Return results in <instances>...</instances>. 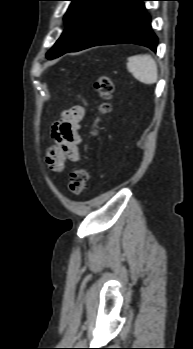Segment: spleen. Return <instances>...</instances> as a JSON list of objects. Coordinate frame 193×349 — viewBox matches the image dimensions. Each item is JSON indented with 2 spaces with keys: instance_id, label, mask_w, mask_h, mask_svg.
<instances>
[{
  "instance_id": "obj_1",
  "label": "spleen",
  "mask_w": 193,
  "mask_h": 349,
  "mask_svg": "<svg viewBox=\"0 0 193 349\" xmlns=\"http://www.w3.org/2000/svg\"><path fill=\"white\" fill-rule=\"evenodd\" d=\"M128 71L140 82L154 84L158 79L155 60L148 54L134 55L128 58Z\"/></svg>"
}]
</instances>
